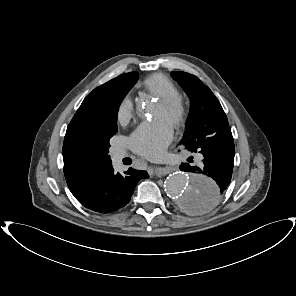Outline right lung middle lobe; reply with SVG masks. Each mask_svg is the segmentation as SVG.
Returning a JSON list of instances; mask_svg holds the SVG:
<instances>
[{"instance_id": "1", "label": "right lung middle lobe", "mask_w": 296, "mask_h": 296, "mask_svg": "<svg viewBox=\"0 0 296 296\" xmlns=\"http://www.w3.org/2000/svg\"><path fill=\"white\" fill-rule=\"evenodd\" d=\"M138 79V73H133L120 84L116 85L91 114L89 122L92 133L109 149V140L117 132V112L119 105L128 91Z\"/></svg>"}]
</instances>
